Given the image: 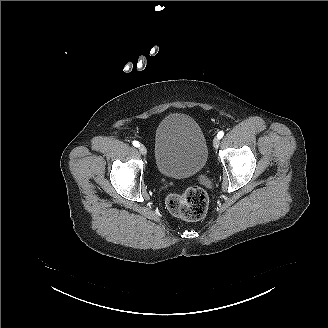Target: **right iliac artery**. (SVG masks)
Listing matches in <instances>:
<instances>
[{
	"instance_id": "obj_1",
	"label": "right iliac artery",
	"mask_w": 328,
	"mask_h": 328,
	"mask_svg": "<svg viewBox=\"0 0 328 328\" xmlns=\"http://www.w3.org/2000/svg\"><path fill=\"white\" fill-rule=\"evenodd\" d=\"M133 145H134L135 147H139V146H140V144H139L138 141H133Z\"/></svg>"
}]
</instances>
